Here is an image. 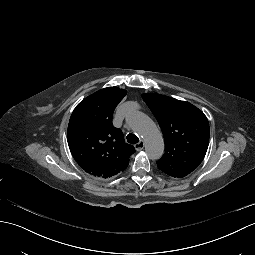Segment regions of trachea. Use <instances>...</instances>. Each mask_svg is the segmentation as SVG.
<instances>
[{"instance_id":"1","label":"trachea","mask_w":255,"mask_h":255,"mask_svg":"<svg viewBox=\"0 0 255 255\" xmlns=\"http://www.w3.org/2000/svg\"><path fill=\"white\" fill-rule=\"evenodd\" d=\"M126 139L130 144H135L139 142V138L133 133H129Z\"/></svg>"}]
</instances>
